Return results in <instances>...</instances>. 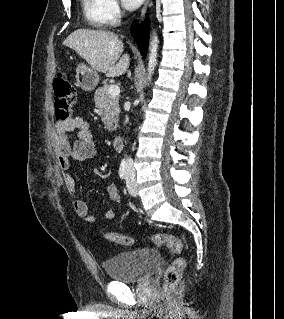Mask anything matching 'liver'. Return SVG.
I'll return each mask as SVG.
<instances>
[{
  "instance_id": "obj_1",
  "label": "liver",
  "mask_w": 284,
  "mask_h": 319,
  "mask_svg": "<svg viewBox=\"0 0 284 319\" xmlns=\"http://www.w3.org/2000/svg\"><path fill=\"white\" fill-rule=\"evenodd\" d=\"M63 44L82 57L92 69L105 73L107 77L124 74L129 65L128 54L121 56L123 42L118 35L105 30L77 29L72 32Z\"/></svg>"
}]
</instances>
